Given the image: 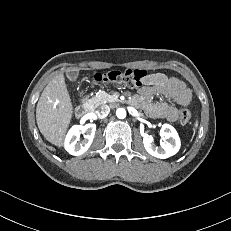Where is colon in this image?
<instances>
[{"instance_id":"5ec220e1","label":"colon","mask_w":231,"mask_h":231,"mask_svg":"<svg viewBox=\"0 0 231 231\" xmlns=\"http://www.w3.org/2000/svg\"><path fill=\"white\" fill-rule=\"evenodd\" d=\"M147 77L145 70H115L105 73H96L94 79L97 82H105L114 84L125 88H137L144 84ZM191 119V113L188 109H181L179 112V120L183 125L189 123Z\"/></svg>"}]
</instances>
